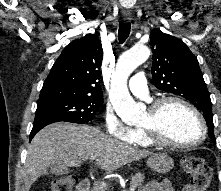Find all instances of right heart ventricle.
I'll list each match as a JSON object with an SVG mask.
<instances>
[{
    "label": "right heart ventricle",
    "instance_id": "right-heart-ventricle-1",
    "mask_svg": "<svg viewBox=\"0 0 221 191\" xmlns=\"http://www.w3.org/2000/svg\"><path fill=\"white\" fill-rule=\"evenodd\" d=\"M128 143L143 148L154 146L140 127L133 129L132 137Z\"/></svg>",
    "mask_w": 221,
    "mask_h": 191
}]
</instances>
